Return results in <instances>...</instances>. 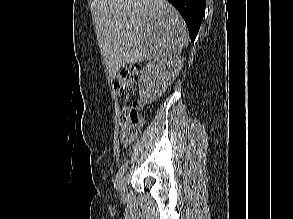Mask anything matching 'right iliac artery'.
I'll use <instances>...</instances> for the list:
<instances>
[{
  "mask_svg": "<svg viewBox=\"0 0 293 219\" xmlns=\"http://www.w3.org/2000/svg\"><path fill=\"white\" fill-rule=\"evenodd\" d=\"M128 166V162H125L119 169L117 175H116V179H115V184L117 188H119V182L123 177L124 172L126 171Z\"/></svg>",
  "mask_w": 293,
  "mask_h": 219,
  "instance_id": "1",
  "label": "right iliac artery"
}]
</instances>
